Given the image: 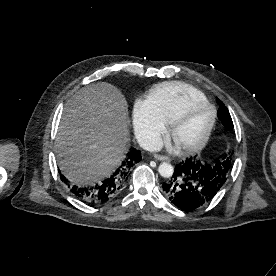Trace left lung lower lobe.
<instances>
[{"label":"left lung lower lobe","mask_w":276,"mask_h":276,"mask_svg":"<svg viewBox=\"0 0 276 276\" xmlns=\"http://www.w3.org/2000/svg\"><path fill=\"white\" fill-rule=\"evenodd\" d=\"M226 171L199 158H186L175 166L163 190L177 207L193 210L211 201L225 183Z\"/></svg>","instance_id":"1"}]
</instances>
